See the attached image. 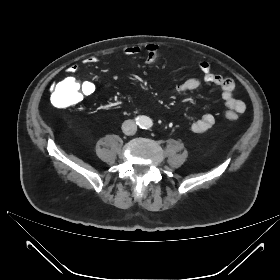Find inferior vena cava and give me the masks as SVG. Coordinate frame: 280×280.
Here are the masks:
<instances>
[{
    "label": "inferior vena cava",
    "mask_w": 280,
    "mask_h": 280,
    "mask_svg": "<svg viewBox=\"0 0 280 280\" xmlns=\"http://www.w3.org/2000/svg\"><path fill=\"white\" fill-rule=\"evenodd\" d=\"M122 131L126 135H134L137 131V125L133 120H126L122 124Z\"/></svg>",
    "instance_id": "obj_1"
}]
</instances>
